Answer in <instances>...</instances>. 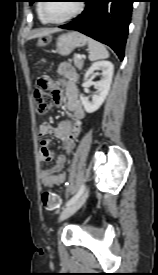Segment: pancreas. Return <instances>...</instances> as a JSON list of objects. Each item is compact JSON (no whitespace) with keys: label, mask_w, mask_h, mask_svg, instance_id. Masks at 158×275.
Masks as SVG:
<instances>
[{"label":"pancreas","mask_w":158,"mask_h":275,"mask_svg":"<svg viewBox=\"0 0 158 275\" xmlns=\"http://www.w3.org/2000/svg\"><path fill=\"white\" fill-rule=\"evenodd\" d=\"M73 61H74V65H75L79 70H81L82 67H83V60L77 58L76 55H75L74 58H73Z\"/></svg>","instance_id":"1"}]
</instances>
